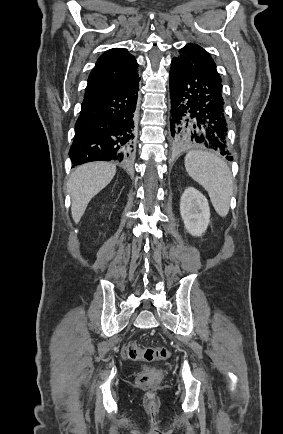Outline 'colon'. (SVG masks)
Wrapping results in <instances>:
<instances>
[{"mask_svg": "<svg viewBox=\"0 0 283 434\" xmlns=\"http://www.w3.org/2000/svg\"><path fill=\"white\" fill-rule=\"evenodd\" d=\"M126 354L131 360H142L145 362L163 361L171 357V351L167 347H147L142 349L135 342H131L126 349ZM163 377L160 369L143 366L137 377V382L141 385H151L158 383Z\"/></svg>", "mask_w": 283, "mask_h": 434, "instance_id": "5ec220e1", "label": "colon"}]
</instances>
